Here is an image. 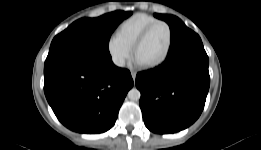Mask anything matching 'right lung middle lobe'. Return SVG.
I'll return each instance as SVG.
<instances>
[{
  "mask_svg": "<svg viewBox=\"0 0 261 150\" xmlns=\"http://www.w3.org/2000/svg\"><path fill=\"white\" fill-rule=\"evenodd\" d=\"M131 12L114 11L98 18H81L53 39L49 54L78 51L109 55L108 43L112 32Z\"/></svg>",
  "mask_w": 261,
  "mask_h": 150,
  "instance_id": "1",
  "label": "right lung middle lobe"
}]
</instances>
